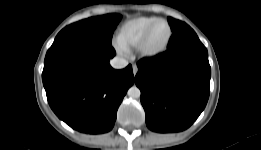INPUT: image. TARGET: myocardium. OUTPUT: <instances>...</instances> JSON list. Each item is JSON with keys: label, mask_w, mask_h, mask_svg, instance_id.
Wrapping results in <instances>:
<instances>
[{"label": "myocardium", "mask_w": 261, "mask_h": 150, "mask_svg": "<svg viewBox=\"0 0 261 150\" xmlns=\"http://www.w3.org/2000/svg\"><path fill=\"white\" fill-rule=\"evenodd\" d=\"M158 23H165L168 26V29H169L168 37H167L164 45L161 48H159L157 50H150L148 48L149 36H150L153 28ZM172 37H173V29H172L171 24L167 20H165V19H157L152 24H150L148 26V28L145 30V32L143 33V35L140 38V40L138 42V45L136 47L137 48V52L139 53V55L141 57L146 58V59L157 58V57L163 55L167 51V49H168V47L170 45V42L172 40Z\"/></svg>", "instance_id": "f54148a6"}]
</instances>
